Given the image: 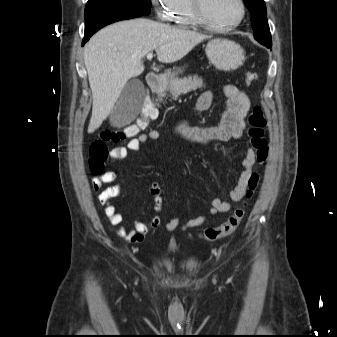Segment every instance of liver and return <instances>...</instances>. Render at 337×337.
I'll return each mask as SVG.
<instances>
[{
	"instance_id": "1",
	"label": "liver",
	"mask_w": 337,
	"mask_h": 337,
	"mask_svg": "<svg viewBox=\"0 0 337 337\" xmlns=\"http://www.w3.org/2000/svg\"><path fill=\"white\" fill-rule=\"evenodd\" d=\"M206 38L194 31L144 18L117 22L97 32L84 51L93 98L88 133L106 120L128 80L144 71L145 55L155 50L158 61L173 63Z\"/></svg>"
}]
</instances>
